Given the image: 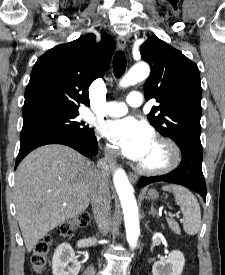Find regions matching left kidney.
Segmentation results:
<instances>
[{
    "label": "left kidney",
    "mask_w": 225,
    "mask_h": 275,
    "mask_svg": "<svg viewBox=\"0 0 225 275\" xmlns=\"http://www.w3.org/2000/svg\"><path fill=\"white\" fill-rule=\"evenodd\" d=\"M185 265V258L182 252L173 250L167 258H161L154 263L153 275H181Z\"/></svg>",
    "instance_id": "5707ae66"
}]
</instances>
